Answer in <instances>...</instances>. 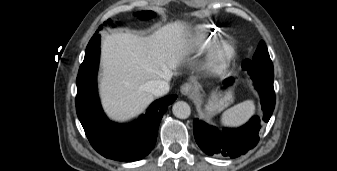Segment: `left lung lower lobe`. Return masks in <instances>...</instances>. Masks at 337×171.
<instances>
[{"mask_svg":"<svg viewBox=\"0 0 337 171\" xmlns=\"http://www.w3.org/2000/svg\"><path fill=\"white\" fill-rule=\"evenodd\" d=\"M255 89L260 95L262 116H254L248 123L237 129L218 130L207 123L194 119V136L198 146L208 155L236 158L246 154L259 141L261 126L267 123L275 107L273 87L274 73L247 70ZM233 78L224 80L225 88L230 86Z\"/></svg>","mask_w":337,"mask_h":171,"instance_id":"left-lung-lower-lobe-1","label":"left lung lower lobe"}]
</instances>
